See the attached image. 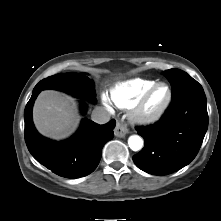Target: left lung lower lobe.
Returning a JSON list of instances; mask_svg holds the SVG:
<instances>
[{
    "label": "left lung lower lobe",
    "mask_w": 221,
    "mask_h": 221,
    "mask_svg": "<svg viewBox=\"0 0 221 221\" xmlns=\"http://www.w3.org/2000/svg\"><path fill=\"white\" fill-rule=\"evenodd\" d=\"M208 128L206 96L202 86L172 96V102L153 125L136 127L144 148L133 156L141 170L167 175L188 165L197 155Z\"/></svg>",
    "instance_id": "0a47b994"
}]
</instances>
